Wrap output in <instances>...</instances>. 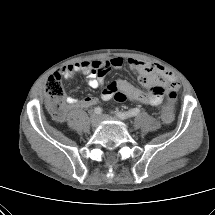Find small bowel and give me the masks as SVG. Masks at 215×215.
<instances>
[{
  "label": "small bowel",
  "instance_id": "c3829d8e",
  "mask_svg": "<svg viewBox=\"0 0 215 215\" xmlns=\"http://www.w3.org/2000/svg\"><path fill=\"white\" fill-rule=\"evenodd\" d=\"M124 60L121 57H113L106 61H82L65 66L57 71L66 79H71L76 74H85L88 85L91 88H98L104 85L105 75L111 68H120ZM128 66L139 74V82L142 88H138L125 80H115L103 87L101 98L104 101L116 100L123 102L126 100L158 106L164 100V94L168 89L179 88L176 77L159 64H153L135 58L127 60ZM160 89L159 92L156 89ZM95 97H85L77 99L68 97L65 110L72 108H88L97 103ZM172 111V110H171ZM63 114L58 117L61 119Z\"/></svg>",
  "mask_w": 215,
  "mask_h": 215
}]
</instances>
